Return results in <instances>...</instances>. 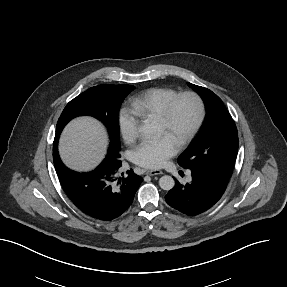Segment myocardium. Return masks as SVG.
<instances>
[{
	"label": "myocardium",
	"instance_id": "obj_1",
	"mask_svg": "<svg viewBox=\"0 0 287 287\" xmlns=\"http://www.w3.org/2000/svg\"><path fill=\"white\" fill-rule=\"evenodd\" d=\"M185 98L190 99L194 103L196 108V116L193 124L191 125L187 133L178 142L177 146L179 149H183L191 143V141L194 139L204 122L205 106L202 98L196 92L193 91H184L178 93L168 101L163 110V113L158 118L159 124H161L165 129L170 128L173 120L175 107L180 100Z\"/></svg>",
	"mask_w": 287,
	"mask_h": 287
}]
</instances>
